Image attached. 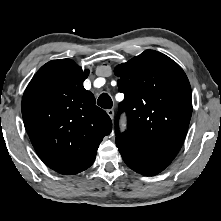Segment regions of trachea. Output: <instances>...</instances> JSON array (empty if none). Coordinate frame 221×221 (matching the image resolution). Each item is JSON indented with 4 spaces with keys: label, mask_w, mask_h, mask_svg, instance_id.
Returning <instances> with one entry per match:
<instances>
[{
    "label": "trachea",
    "mask_w": 221,
    "mask_h": 221,
    "mask_svg": "<svg viewBox=\"0 0 221 221\" xmlns=\"http://www.w3.org/2000/svg\"><path fill=\"white\" fill-rule=\"evenodd\" d=\"M97 104L104 109H111L113 102L107 93H102L97 100Z\"/></svg>",
    "instance_id": "trachea-1"
}]
</instances>
